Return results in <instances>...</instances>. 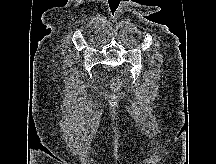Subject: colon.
<instances>
[{"mask_svg": "<svg viewBox=\"0 0 216 164\" xmlns=\"http://www.w3.org/2000/svg\"><path fill=\"white\" fill-rule=\"evenodd\" d=\"M112 86H113L115 89L120 88V87L122 86V80H120V79H115V80H113Z\"/></svg>", "mask_w": 216, "mask_h": 164, "instance_id": "colon-1", "label": "colon"}]
</instances>
